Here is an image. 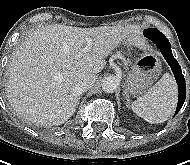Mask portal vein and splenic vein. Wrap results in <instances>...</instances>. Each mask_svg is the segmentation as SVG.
Returning <instances> with one entry per match:
<instances>
[{"label": "portal vein and splenic vein", "mask_w": 190, "mask_h": 165, "mask_svg": "<svg viewBox=\"0 0 190 165\" xmlns=\"http://www.w3.org/2000/svg\"><path fill=\"white\" fill-rule=\"evenodd\" d=\"M86 42H87V45L82 49V52H84V53L90 51L91 46H92V39L91 38H87Z\"/></svg>", "instance_id": "18ae733b"}]
</instances>
